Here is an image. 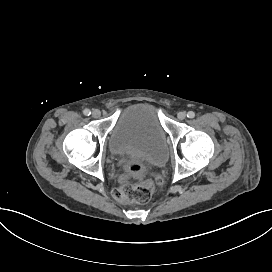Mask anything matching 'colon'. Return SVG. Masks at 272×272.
<instances>
[{"label": "colon", "mask_w": 272, "mask_h": 272, "mask_svg": "<svg viewBox=\"0 0 272 272\" xmlns=\"http://www.w3.org/2000/svg\"><path fill=\"white\" fill-rule=\"evenodd\" d=\"M145 170V164L140 161L125 163L120 177L121 185L113 192L117 202L127 204L132 200L137 203H145L150 199L157 184H162L163 180L161 178L143 179Z\"/></svg>", "instance_id": "obj_1"}]
</instances>
